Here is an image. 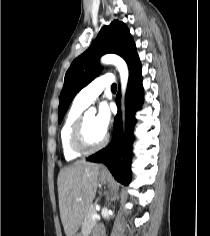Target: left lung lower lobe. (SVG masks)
Here are the masks:
<instances>
[{
	"instance_id": "1",
	"label": "left lung lower lobe",
	"mask_w": 210,
	"mask_h": 236,
	"mask_svg": "<svg viewBox=\"0 0 210 236\" xmlns=\"http://www.w3.org/2000/svg\"><path fill=\"white\" fill-rule=\"evenodd\" d=\"M120 92L116 97V103L119 108L118 114L114 121V135L109 146L87 158L88 161L104 162L115 178L123 184L130 181V164L129 160L120 166L119 158L123 147L130 143V133L135 124V112L141 107L143 101V87L141 64H139L129 75V82L126 92V136L122 134V121L120 112Z\"/></svg>"
}]
</instances>
